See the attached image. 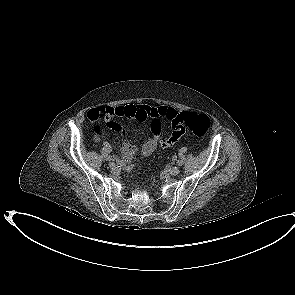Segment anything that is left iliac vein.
Here are the masks:
<instances>
[{
	"instance_id": "obj_1",
	"label": "left iliac vein",
	"mask_w": 295,
	"mask_h": 295,
	"mask_svg": "<svg viewBox=\"0 0 295 295\" xmlns=\"http://www.w3.org/2000/svg\"><path fill=\"white\" fill-rule=\"evenodd\" d=\"M179 172H180V170H179V168L176 167V166L170 168V170H169V173H170L171 175H174V176H175V175H178Z\"/></svg>"
}]
</instances>
